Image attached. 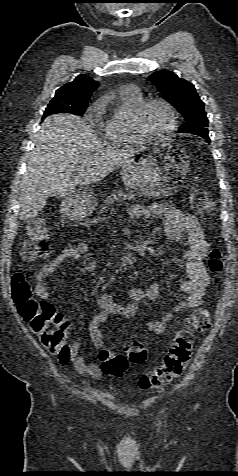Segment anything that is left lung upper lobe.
<instances>
[{"mask_svg":"<svg viewBox=\"0 0 238 476\" xmlns=\"http://www.w3.org/2000/svg\"><path fill=\"white\" fill-rule=\"evenodd\" d=\"M162 97L173 104L184 116L185 123L179 132L208 134V118L204 103L195 91L194 85L169 70H160L150 75ZM204 135V134H203Z\"/></svg>","mask_w":238,"mask_h":476,"instance_id":"obj_1","label":"left lung upper lobe"}]
</instances>
